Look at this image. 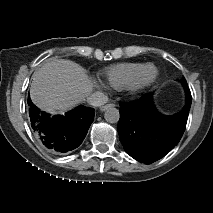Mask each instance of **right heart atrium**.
<instances>
[{"mask_svg": "<svg viewBox=\"0 0 213 213\" xmlns=\"http://www.w3.org/2000/svg\"><path fill=\"white\" fill-rule=\"evenodd\" d=\"M98 85H99V87H101V88H104V87H105V85H104L103 83H99Z\"/></svg>", "mask_w": 213, "mask_h": 213, "instance_id": "1", "label": "right heart atrium"}]
</instances>
